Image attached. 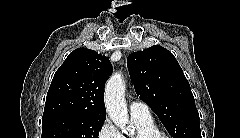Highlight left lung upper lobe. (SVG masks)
Segmentation results:
<instances>
[{"mask_svg": "<svg viewBox=\"0 0 240 138\" xmlns=\"http://www.w3.org/2000/svg\"><path fill=\"white\" fill-rule=\"evenodd\" d=\"M127 67L135 91L173 138H201L195 100L174 55L161 46L132 53Z\"/></svg>", "mask_w": 240, "mask_h": 138, "instance_id": "1", "label": "left lung upper lobe"}]
</instances>
